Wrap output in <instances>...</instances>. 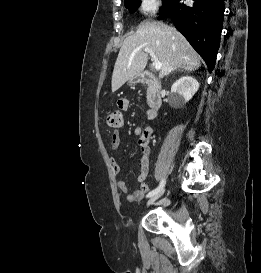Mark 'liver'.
I'll use <instances>...</instances> for the list:
<instances>
[{
	"mask_svg": "<svg viewBox=\"0 0 261 273\" xmlns=\"http://www.w3.org/2000/svg\"><path fill=\"white\" fill-rule=\"evenodd\" d=\"M145 47L161 62L160 77L177 68L194 71L201 66L199 55L180 32L161 22L146 21L123 42L112 74V92L141 75L148 61V53L143 51Z\"/></svg>",
	"mask_w": 261,
	"mask_h": 273,
	"instance_id": "1",
	"label": "liver"
}]
</instances>
